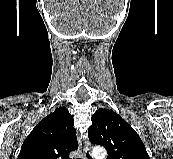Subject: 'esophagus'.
I'll list each match as a JSON object with an SVG mask.
<instances>
[{
  "mask_svg": "<svg viewBox=\"0 0 173 159\" xmlns=\"http://www.w3.org/2000/svg\"><path fill=\"white\" fill-rule=\"evenodd\" d=\"M84 159H93L92 154H91V145L88 140L84 141Z\"/></svg>",
  "mask_w": 173,
  "mask_h": 159,
  "instance_id": "34e87169",
  "label": "esophagus"
}]
</instances>
